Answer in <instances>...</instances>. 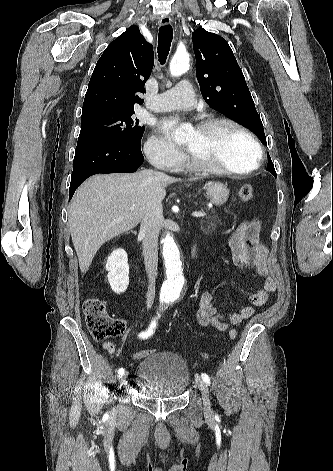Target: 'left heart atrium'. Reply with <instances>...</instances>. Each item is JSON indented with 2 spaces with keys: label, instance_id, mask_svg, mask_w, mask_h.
I'll return each instance as SVG.
<instances>
[{
  "label": "left heart atrium",
  "instance_id": "1",
  "mask_svg": "<svg viewBox=\"0 0 333 471\" xmlns=\"http://www.w3.org/2000/svg\"><path fill=\"white\" fill-rule=\"evenodd\" d=\"M176 122L173 120H167L163 122L162 129L168 137H172L175 131Z\"/></svg>",
  "mask_w": 333,
  "mask_h": 471
}]
</instances>
